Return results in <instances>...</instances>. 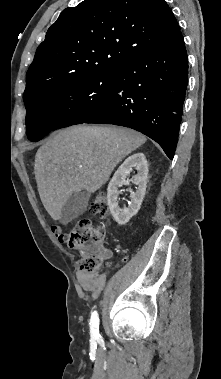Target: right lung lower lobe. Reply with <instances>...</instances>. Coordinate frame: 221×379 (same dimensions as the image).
<instances>
[{"mask_svg": "<svg viewBox=\"0 0 221 379\" xmlns=\"http://www.w3.org/2000/svg\"><path fill=\"white\" fill-rule=\"evenodd\" d=\"M188 80V58L179 31L118 68L109 101L81 123L130 127L155 140L173 159Z\"/></svg>", "mask_w": 221, "mask_h": 379, "instance_id": "right-lung-lower-lobe-1", "label": "right lung lower lobe"}]
</instances>
